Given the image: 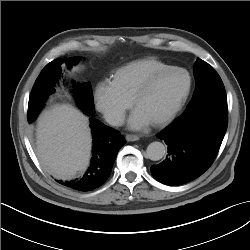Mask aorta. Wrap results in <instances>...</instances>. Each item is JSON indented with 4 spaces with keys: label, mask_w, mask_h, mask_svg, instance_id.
Segmentation results:
<instances>
[{
    "label": "aorta",
    "mask_w": 250,
    "mask_h": 250,
    "mask_svg": "<svg viewBox=\"0 0 250 250\" xmlns=\"http://www.w3.org/2000/svg\"><path fill=\"white\" fill-rule=\"evenodd\" d=\"M166 148L161 142H152L148 145L146 154L147 157L152 161H158L164 157Z\"/></svg>",
    "instance_id": "762f6f07"
}]
</instances>
